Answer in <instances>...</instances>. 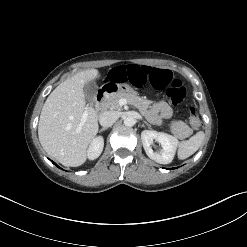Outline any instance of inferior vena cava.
<instances>
[{
    "label": "inferior vena cava",
    "instance_id": "obj_1",
    "mask_svg": "<svg viewBox=\"0 0 247 247\" xmlns=\"http://www.w3.org/2000/svg\"><path fill=\"white\" fill-rule=\"evenodd\" d=\"M117 114L113 111H105L100 115L99 122L103 127L112 126L117 120Z\"/></svg>",
    "mask_w": 247,
    "mask_h": 247
}]
</instances>
